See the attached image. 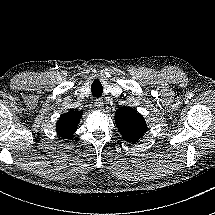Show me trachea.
Returning <instances> with one entry per match:
<instances>
[{"mask_svg": "<svg viewBox=\"0 0 215 215\" xmlns=\"http://www.w3.org/2000/svg\"><path fill=\"white\" fill-rule=\"evenodd\" d=\"M91 92L94 97H100L103 93V86L99 80H94L91 86Z\"/></svg>", "mask_w": 215, "mask_h": 215, "instance_id": "trachea-1", "label": "trachea"}]
</instances>
